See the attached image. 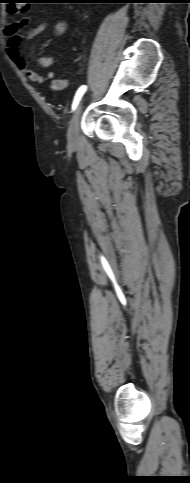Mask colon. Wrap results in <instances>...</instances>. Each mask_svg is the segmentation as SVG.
<instances>
[{"label": "colon", "instance_id": "obj_1", "mask_svg": "<svg viewBox=\"0 0 190 483\" xmlns=\"http://www.w3.org/2000/svg\"><path fill=\"white\" fill-rule=\"evenodd\" d=\"M28 0H12L8 4V12L11 15H19L26 11Z\"/></svg>", "mask_w": 190, "mask_h": 483}]
</instances>
